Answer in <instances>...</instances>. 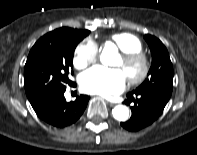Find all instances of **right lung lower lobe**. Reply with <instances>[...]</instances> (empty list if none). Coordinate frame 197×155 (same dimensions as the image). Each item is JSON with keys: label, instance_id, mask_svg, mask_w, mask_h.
<instances>
[{"label": "right lung lower lobe", "instance_id": "right-lung-lower-lobe-1", "mask_svg": "<svg viewBox=\"0 0 197 155\" xmlns=\"http://www.w3.org/2000/svg\"><path fill=\"white\" fill-rule=\"evenodd\" d=\"M70 86H76L71 82ZM64 92L53 93L39 103L32 105L36 114L54 127L64 128L76 122L84 112L89 96H77L75 101L66 102Z\"/></svg>", "mask_w": 197, "mask_h": 155}]
</instances>
